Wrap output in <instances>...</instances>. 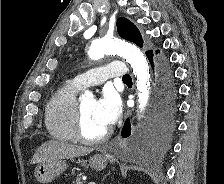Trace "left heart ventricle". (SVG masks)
I'll return each instance as SVG.
<instances>
[{
    "mask_svg": "<svg viewBox=\"0 0 224 184\" xmlns=\"http://www.w3.org/2000/svg\"><path fill=\"white\" fill-rule=\"evenodd\" d=\"M83 111V132L87 137L96 138L101 136L108 127L104 126L97 118L93 99H85L81 102Z\"/></svg>",
    "mask_w": 224,
    "mask_h": 184,
    "instance_id": "b2bd125f",
    "label": "left heart ventricle"
}]
</instances>
